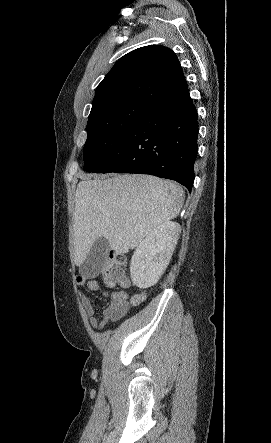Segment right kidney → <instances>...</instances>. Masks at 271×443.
<instances>
[{"label": "right kidney", "instance_id": "1", "mask_svg": "<svg viewBox=\"0 0 271 443\" xmlns=\"http://www.w3.org/2000/svg\"><path fill=\"white\" fill-rule=\"evenodd\" d=\"M181 233V225L167 222L150 231L136 247L130 265L131 279L137 287H151L166 269Z\"/></svg>", "mask_w": 271, "mask_h": 443}]
</instances>
